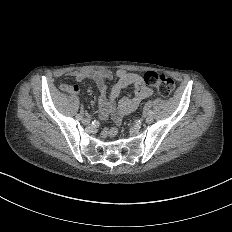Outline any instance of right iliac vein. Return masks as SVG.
<instances>
[{"instance_id": "63e3f726", "label": "right iliac vein", "mask_w": 232, "mask_h": 232, "mask_svg": "<svg viewBox=\"0 0 232 232\" xmlns=\"http://www.w3.org/2000/svg\"><path fill=\"white\" fill-rule=\"evenodd\" d=\"M81 123H82L83 126H88V125H89V120L86 119V118H83V119L81 120Z\"/></svg>"}]
</instances>
